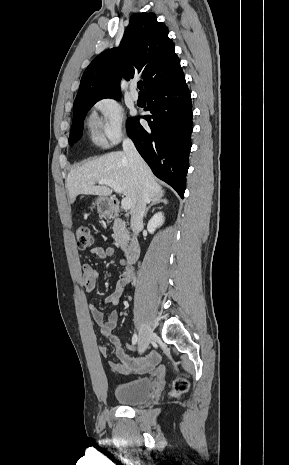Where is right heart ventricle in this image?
<instances>
[{
  "mask_svg": "<svg viewBox=\"0 0 289 465\" xmlns=\"http://www.w3.org/2000/svg\"><path fill=\"white\" fill-rule=\"evenodd\" d=\"M88 127H89L90 137H91L92 142L95 143L96 145H103L104 140L101 134L98 132V121L94 115H92L89 118Z\"/></svg>",
  "mask_w": 289,
  "mask_h": 465,
  "instance_id": "obj_1",
  "label": "right heart ventricle"
}]
</instances>
